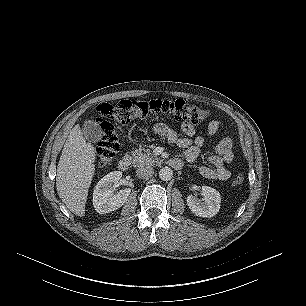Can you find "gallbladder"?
I'll return each instance as SVG.
<instances>
[{"mask_svg": "<svg viewBox=\"0 0 306 306\" xmlns=\"http://www.w3.org/2000/svg\"><path fill=\"white\" fill-rule=\"evenodd\" d=\"M84 137L89 142H98L102 138V129L100 126L93 121H86L82 128Z\"/></svg>", "mask_w": 306, "mask_h": 306, "instance_id": "bac80fb5", "label": "gallbladder"}]
</instances>
